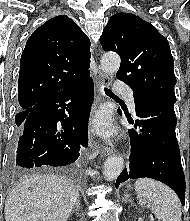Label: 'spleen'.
<instances>
[{
    "instance_id": "1",
    "label": "spleen",
    "mask_w": 190,
    "mask_h": 221,
    "mask_svg": "<svg viewBox=\"0 0 190 221\" xmlns=\"http://www.w3.org/2000/svg\"><path fill=\"white\" fill-rule=\"evenodd\" d=\"M141 206L149 204L159 221H182L180 201L173 190L149 178L135 182Z\"/></svg>"
}]
</instances>
